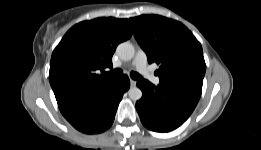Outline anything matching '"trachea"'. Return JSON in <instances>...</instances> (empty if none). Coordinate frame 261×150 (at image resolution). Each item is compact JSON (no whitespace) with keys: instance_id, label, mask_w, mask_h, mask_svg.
Instances as JSON below:
<instances>
[{"instance_id":"obj_1","label":"trachea","mask_w":261,"mask_h":150,"mask_svg":"<svg viewBox=\"0 0 261 150\" xmlns=\"http://www.w3.org/2000/svg\"><path fill=\"white\" fill-rule=\"evenodd\" d=\"M122 73H123V71L121 69H115V70L109 72L107 75L116 77V76H120ZM130 76L132 79H135V80L141 78V75H139L137 72H131Z\"/></svg>"}]
</instances>
